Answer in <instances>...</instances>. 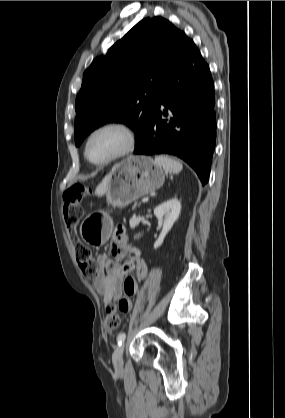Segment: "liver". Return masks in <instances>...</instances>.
I'll use <instances>...</instances> for the list:
<instances>
[{
  "label": "liver",
  "instance_id": "1",
  "mask_svg": "<svg viewBox=\"0 0 285 418\" xmlns=\"http://www.w3.org/2000/svg\"><path fill=\"white\" fill-rule=\"evenodd\" d=\"M113 169H114V167H113ZM111 179H112V174L110 173L97 186V188L95 190V194L98 195V196H103L105 193H107V191L109 189V185H110Z\"/></svg>",
  "mask_w": 285,
  "mask_h": 418
}]
</instances>
